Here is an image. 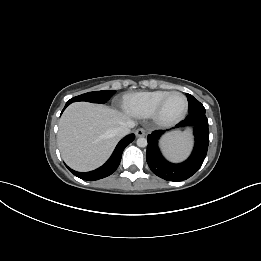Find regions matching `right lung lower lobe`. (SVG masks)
Here are the masks:
<instances>
[{
	"instance_id": "right-lung-lower-lobe-1",
	"label": "right lung lower lobe",
	"mask_w": 261,
	"mask_h": 261,
	"mask_svg": "<svg viewBox=\"0 0 261 261\" xmlns=\"http://www.w3.org/2000/svg\"><path fill=\"white\" fill-rule=\"evenodd\" d=\"M69 105L67 102L64 109ZM63 109V110H64ZM63 112V111H62ZM135 139L134 134H130L123 138L118 145L116 146L114 152L112 153L111 157L109 160L100 168L90 171V172H77L69 167H67L75 176L87 180V181H94L98 179L105 178L109 175H111L119 166L121 157H122V152L125 149V147L130 144L133 140Z\"/></svg>"
}]
</instances>
